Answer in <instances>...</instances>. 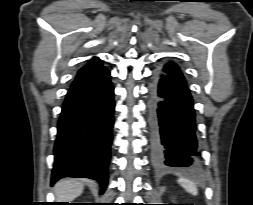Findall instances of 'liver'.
Masks as SVG:
<instances>
[{"label": "liver", "instance_id": "1", "mask_svg": "<svg viewBox=\"0 0 253 205\" xmlns=\"http://www.w3.org/2000/svg\"><path fill=\"white\" fill-rule=\"evenodd\" d=\"M83 189V181L74 178L62 179L54 186V192L58 202L73 201L83 192Z\"/></svg>", "mask_w": 253, "mask_h": 205}]
</instances>
